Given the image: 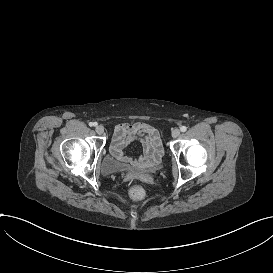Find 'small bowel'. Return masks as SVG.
<instances>
[{
	"mask_svg": "<svg viewBox=\"0 0 273 273\" xmlns=\"http://www.w3.org/2000/svg\"><path fill=\"white\" fill-rule=\"evenodd\" d=\"M136 134L142 136L144 140V155L139 159L130 158L124 153L128 141ZM110 151L132 171L156 167L162 156V146L156 133L144 122H122L116 125Z\"/></svg>",
	"mask_w": 273,
	"mask_h": 273,
	"instance_id": "c3829d8e",
	"label": "small bowel"
}]
</instances>
